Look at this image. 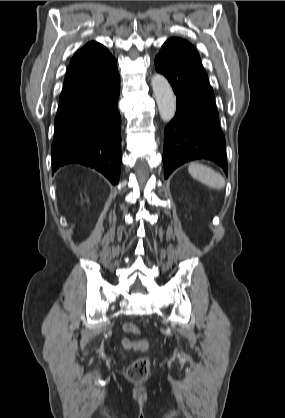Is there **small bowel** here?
<instances>
[{
	"label": "small bowel",
	"mask_w": 285,
	"mask_h": 418,
	"mask_svg": "<svg viewBox=\"0 0 285 418\" xmlns=\"http://www.w3.org/2000/svg\"><path fill=\"white\" fill-rule=\"evenodd\" d=\"M124 340H128V339H123L122 340V344H123L124 348H126V349H133L135 351L143 350L141 348V342H142L141 340L140 341H130V340H128L129 341V344H127V345L124 344Z\"/></svg>",
	"instance_id": "obj_1"
}]
</instances>
